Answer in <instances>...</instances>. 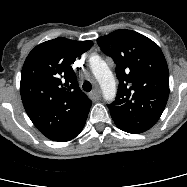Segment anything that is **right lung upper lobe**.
Returning <instances> with one entry per match:
<instances>
[{
  "label": "right lung upper lobe",
  "instance_id": "1",
  "mask_svg": "<svg viewBox=\"0 0 187 187\" xmlns=\"http://www.w3.org/2000/svg\"><path fill=\"white\" fill-rule=\"evenodd\" d=\"M92 41L58 37L37 45L27 56L20 82L23 106L47 138L66 142L83 129L91 100L83 93L71 64Z\"/></svg>",
  "mask_w": 187,
  "mask_h": 187
}]
</instances>
